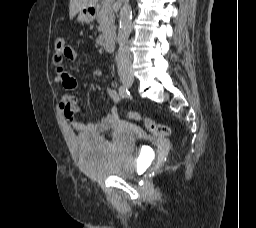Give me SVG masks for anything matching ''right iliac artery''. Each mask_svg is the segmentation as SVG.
Masks as SVG:
<instances>
[{
  "mask_svg": "<svg viewBox=\"0 0 256 228\" xmlns=\"http://www.w3.org/2000/svg\"><path fill=\"white\" fill-rule=\"evenodd\" d=\"M119 95L122 98H126V97L129 96V91H128L127 86H125V85L120 86V88H119Z\"/></svg>",
  "mask_w": 256,
  "mask_h": 228,
  "instance_id": "right-iliac-artery-1",
  "label": "right iliac artery"
}]
</instances>
